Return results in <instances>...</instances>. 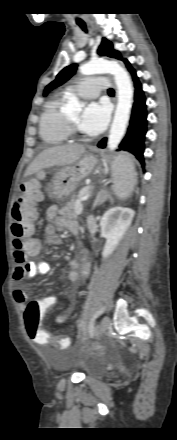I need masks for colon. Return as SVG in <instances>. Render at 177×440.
<instances>
[{
	"instance_id": "1",
	"label": "colon",
	"mask_w": 177,
	"mask_h": 440,
	"mask_svg": "<svg viewBox=\"0 0 177 440\" xmlns=\"http://www.w3.org/2000/svg\"><path fill=\"white\" fill-rule=\"evenodd\" d=\"M41 198L38 180H30L21 184L19 194L12 206L11 231L15 237L14 255L23 260H26L28 255L34 254L37 249L31 237L37 219L35 205ZM59 303L58 298H31V302L23 312L29 342H37V348L51 346L52 351L58 352L61 348L71 345L69 334H50L49 330L40 329L43 316Z\"/></svg>"
}]
</instances>
